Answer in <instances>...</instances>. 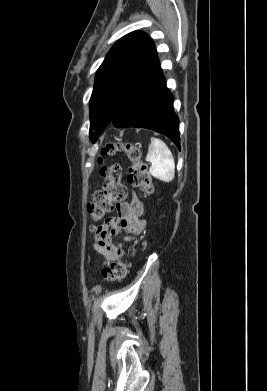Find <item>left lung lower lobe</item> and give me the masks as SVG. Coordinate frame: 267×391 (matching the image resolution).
Here are the masks:
<instances>
[{"instance_id":"left-lung-lower-lobe-1","label":"left lung lower lobe","mask_w":267,"mask_h":391,"mask_svg":"<svg viewBox=\"0 0 267 391\" xmlns=\"http://www.w3.org/2000/svg\"><path fill=\"white\" fill-rule=\"evenodd\" d=\"M173 100L158 61L127 94L111 123L116 127L156 131L170 138L180 149L179 119L173 109Z\"/></svg>"}]
</instances>
